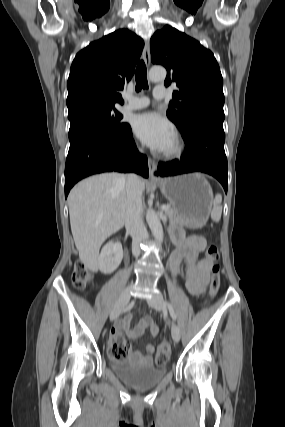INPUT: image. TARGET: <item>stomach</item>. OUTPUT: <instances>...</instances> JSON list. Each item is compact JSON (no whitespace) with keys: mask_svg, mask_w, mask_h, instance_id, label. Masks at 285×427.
I'll list each match as a JSON object with an SVG mask.
<instances>
[{"mask_svg":"<svg viewBox=\"0 0 285 427\" xmlns=\"http://www.w3.org/2000/svg\"><path fill=\"white\" fill-rule=\"evenodd\" d=\"M158 186L178 212L182 226L199 228L206 224L212 208L213 192L202 174L166 178Z\"/></svg>","mask_w":285,"mask_h":427,"instance_id":"1","label":"stomach"}]
</instances>
